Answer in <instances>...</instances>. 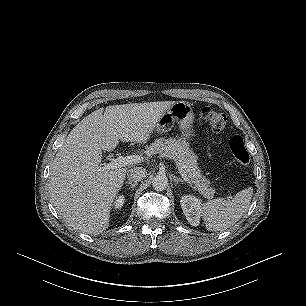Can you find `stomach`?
Returning <instances> with one entry per match:
<instances>
[{
  "label": "stomach",
  "instance_id": "obj_1",
  "mask_svg": "<svg viewBox=\"0 0 306 306\" xmlns=\"http://www.w3.org/2000/svg\"><path fill=\"white\" fill-rule=\"evenodd\" d=\"M192 107L185 101H178L172 104L159 118L155 130L157 133H167L172 129L174 123H178L183 137L189 138L192 134L193 124Z\"/></svg>",
  "mask_w": 306,
  "mask_h": 306
}]
</instances>
